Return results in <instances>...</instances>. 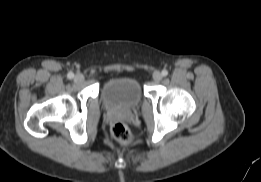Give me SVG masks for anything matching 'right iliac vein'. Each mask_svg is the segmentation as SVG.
I'll use <instances>...</instances> for the list:
<instances>
[{
	"label": "right iliac vein",
	"mask_w": 261,
	"mask_h": 182,
	"mask_svg": "<svg viewBox=\"0 0 261 182\" xmlns=\"http://www.w3.org/2000/svg\"><path fill=\"white\" fill-rule=\"evenodd\" d=\"M74 81L77 82V83H81L84 81V76L82 74H76L75 77H74Z\"/></svg>",
	"instance_id": "1"
}]
</instances>
